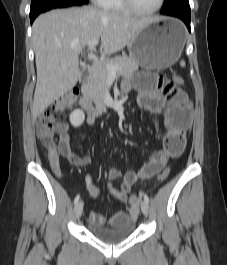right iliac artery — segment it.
Wrapping results in <instances>:
<instances>
[{"instance_id":"right-iliac-artery-1","label":"right iliac artery","mask_w":227,"mask_h":265,"mask_svg":"<svg viewBox=\"0 0 227 265\" xmlns=\"http://www.w3.org/2000/svg\"><path fill=\"white\" fill-rule=\"evenodd\" d=\"M80 199V195L78 194L74 199V204H77Z\"/></svg>"}]
</instances>
